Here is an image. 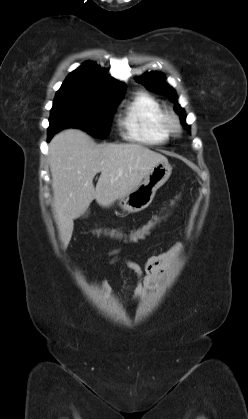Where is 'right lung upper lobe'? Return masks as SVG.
Segmentation results:
<instances>
[{"label": "right lung upper lobe", "mask_w": 248, "mask_h": 419, "mask_svg": "<svg viewBox=\"0 0 248 419\" xmlns=\"http://www.w3.org/2000/svg\"><path fill=\"white\" fill-rule=\"evenodd\" d=\"M126 85L108 76L106 71L89 61L69 74L58 92H71L97 98L122 97Z\"/></svg>", "instance_id": "obj_1"}]
</instances>
